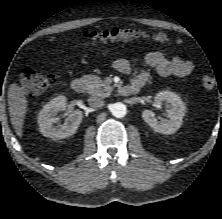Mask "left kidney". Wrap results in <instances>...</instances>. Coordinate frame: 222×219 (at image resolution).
I'll use <instances>...</instances> for the list:
<instances>
[{
	"label": "left kidney",
	"mask_w": 222,
	"mask_h": 219,
	"mask_svg": "<svg viewBox=\"0 0 222 219\" xmlns=\"http://www.w3.org/2000/svg\"><path fill=\"white\" fill-rule=\"evenodd\" d=\"M155 104H166L168 110V120L159 121L154 112L144 110L142 112L143 120L156 132L161 134H174L182 125V119L185 115L186 106L181 97L174 92L164 90L155 95Z\"/></svg>",
	"instance_id": "5707ae66"
}]
</instances>
